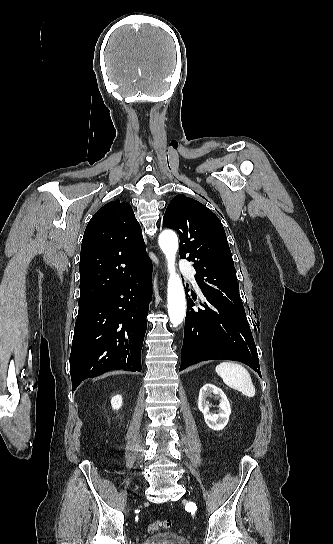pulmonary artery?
<instances>
[{
    "mask_svg": "<svg viewBox=\"0 0 333 544\" xmlns=\"http://www.w3.org/2000/svg\"><path fill=\"white\" fill-rule=\"evenodd\" d=\"M180 271L183 275H185L187 278L194 281L195 277V270L194 268L187 262L183 261L180 263Z\"/></svg>",
    "mask_w": 333,
    "mask_h": 544,
    "instance_id": "1",
    "label": "pulmonary artery"
}]
</instances>
